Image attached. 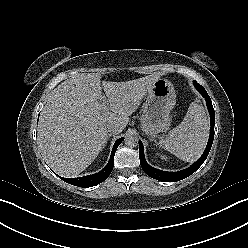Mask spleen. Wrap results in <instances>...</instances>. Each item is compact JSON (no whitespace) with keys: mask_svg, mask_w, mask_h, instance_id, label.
<instances>
[{"mask_svg":"<svg viewBox=\"0 0 248 248\" xmlns=\"http://www.w3.org/2000/svg\"><path fill=\"white\" fill-rule=\"evenodd\" d=\"M205 115L204 108L196 101L192 102L179 126L160 141L162 148L184 161L197 160L209 136V121Z\"/></svg>","mask_w":248,"mask_h":248,"instance_id":"obj_1","label":"spleen"}]
</instances>
